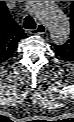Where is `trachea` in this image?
<instances>
[{"instance_id": "obj_1", "label": "trachea", "mask_w": 74, "mask_h": 122, "mask_svg": "<svg viewBox=\"0 0 74 122\" xmlns=\"http://www.w3.org/2000/svg\"><path fill=\"white\" fill-rule=\"evenodd\" d=\"M24 27L26 29H35L36 28V23L31 16H26V18L24 19Z\"/></svg>"}]
</instances>
